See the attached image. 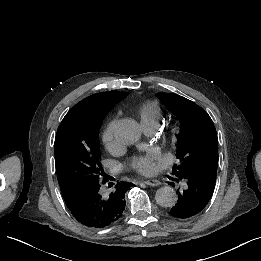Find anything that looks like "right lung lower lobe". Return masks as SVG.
<instances>
[{
	"mask_svg": "<svg viewBox=\"0 0 261 261\" xmlns=\"http://www.w3.org/2000/svg\"><path fill=\"white\" fill-rule=\"evenodd\" d=\"M132 185L128 182L117 183L112 192L107 193L97 182L91 187L81 188L65 202L79 223L103 228L119 219L125 209V193Z\"/></svg>",
	"mask_w": 261,
	"mask_h": 261,
	"instance_id": "1",
	"label": "right lung lower lobe"
}]
</instances>
